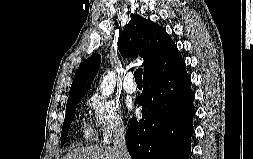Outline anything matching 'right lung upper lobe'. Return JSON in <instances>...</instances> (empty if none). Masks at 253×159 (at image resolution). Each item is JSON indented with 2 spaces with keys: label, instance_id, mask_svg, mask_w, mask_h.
Returning <instances> with one entry per match:
<instances>
[{
  "label": "right lung upper lobe",
  "instance_id": "right-lung-upper-lobe-1",
  "mask_svg": "<svg viewBox=\"0 0 253 159\" xmlns=\"http://www.w3.org/2000/svg\"><path fill=\"white\" fill-rule=\"evenodd\" d=\"M123 57L144 59V79L165 75L180 66L184 60L165 29L152 21L134 15L118 41ZM101 62L99 54L87 58L77 69L68 101L83 97L96 76Z\"/></svg>",
  "mask_w": 253,
  "mask_h": 159
}]
</instances>
